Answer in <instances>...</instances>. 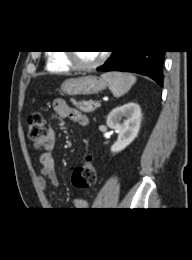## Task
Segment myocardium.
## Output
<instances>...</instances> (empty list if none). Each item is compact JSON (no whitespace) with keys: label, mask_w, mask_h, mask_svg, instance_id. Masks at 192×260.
Listing matches in <instances>:
<instances>
[{"label":"myocardium","mask_w":192,"mask_h":260,"mask_svg":"<svg viewBox=\"0 0 192 260\" xmlns=\"http://www.w3.org/2000/svg\"><path fill=\"white\" fill-rule=\"evenodd\" d=\"M106 57H107V53H103L95 62L91 64H82L78 61L76 57V53L74 51L65 52V58L67 62L71 65V67L79 71H91L98 68L104 63Z\"/></svg>","instance_id":"f54148a6"}]
</instances>
